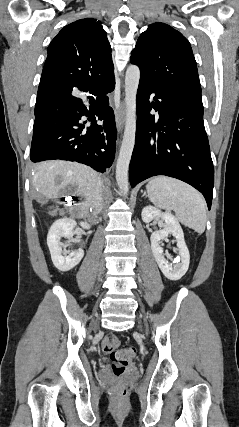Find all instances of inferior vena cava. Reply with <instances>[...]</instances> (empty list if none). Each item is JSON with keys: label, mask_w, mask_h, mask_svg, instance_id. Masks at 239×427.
<instances>
[{"label": "inferior vena cava", "mask_w": 239, "mask_h": 427, "mask_svg": "<svg viewBox=\"0 0 239 427\" xmlns=\"http://www.w3.org/2000/svg\"><path fill=\"white\" fill-rule=\"evenodd\" d=\"M101 187H102V182H99L98 191H97V194L95 196V203H96L99 211L101 210L102 204H103V198L101 195Z\"/></svg>", "instance_id": "obj_1"}]
</instances>
